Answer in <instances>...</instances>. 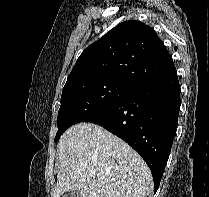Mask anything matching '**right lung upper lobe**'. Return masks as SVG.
Returning <instances> with one entry per match:
<instances>
[{"label":"right lung upper lobe","mask_w":209,"mask_h":197,"mask_svg":"<svg viewBox=\"0 0 209 197\" xmlns=\"http://www.w3.org/2000/svg\"><path fill=\"white\" fill-rule=\"evenodd\" d=\"M163 42L148 25L126 21L87 47L65 84L116 80L135 88L174 68Z\"/></svg>","instance_id":"cb5924a9"}]
</instances>
